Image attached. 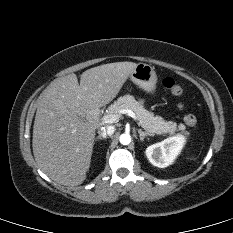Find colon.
I'll list each match as a JSON object with an SVG mask.
<instances>
[{
  "label": "colon",
  "instance_id": "1",
  "mask_svg": "<svg viewBox=\"0 0 233 233\" xmlns=\"http://www.w3.org/2000/svg\"><path fill=\"white\" fill-rule=\"evenodd\" d=\"M163 86L173 95H180L182 93L181 85L172 77H166L163 79ZM180 109H183V105H179ZM184 122L187 126L194 128L197 126V118L193 114H186L184 116Z\"/></svg>",
  "mask_w": 233,
  "mask_h": 233
}]
</instances>
